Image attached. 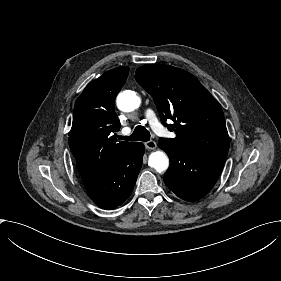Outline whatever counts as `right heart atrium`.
Here are the masks:
<instances>
[{
    "instance_id": "1",
    "label": "right heart atrium",
    "mask_w": 281,
    "mask_h": 281,
    "mask_svg": "<svg viewBox=\"0 0 281 281\" xmlns=\"http://www.w3.org/2000/svg\"><path fill=\"white\" fill-rule=\"evenodd\" d=\"M123 92H124V91H123ZM123 92H120V93L118 94L117 100H118L119 97H122V98L126 101V99L128 98V96H127L126 94H124Z\"/></svg>"
}]
</instances>
